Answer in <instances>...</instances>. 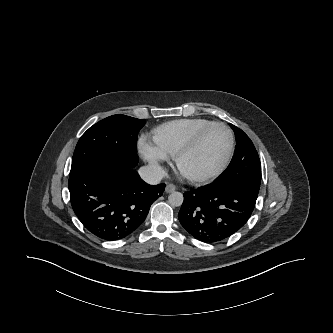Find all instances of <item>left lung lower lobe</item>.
Segmentation results:
<instances>
[{
	"instance_id": "left-lung-lower-lobe-1",
	"label": "left lung lower lobe",
	"mask_w": 333,
	"mask_h": 333,
	"mask_svg": "<svg viewBox=\"0 0 333 333\" xmlns=\"http://www.w3.org/2000/svg\"><path fill=\"white\" fill-rule=\"evenodd\" d=\"M257 196L242 187L214 182L186 192L178 218L194 238L206 243L219 242L248 221Z\"/></svg>"
}]
</instances>
